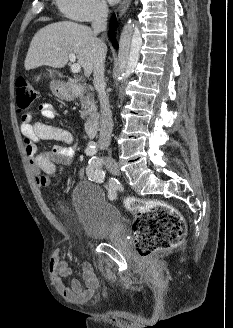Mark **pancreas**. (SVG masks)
Masks as SVG:
<instances>
[{"label": "pancreas", "instance_id": "1", "mask_svg": "<svg viewBox=\"0 0 233 328\" xmlns=\"http://www.w3.org/2000/svg\"><path fill=\"white\" fill-rule=\"evenodd\" d=\"M81 102V117L90 119L96 116V102L91 93L80 96Z\"/></svg>", "mask_w": 233, "mask_h": 328}]
</instances>
